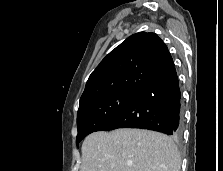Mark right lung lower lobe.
Masks as SVG:
<instances>
[{
  "label": "right lung lower lobe",
  "mask_w": 223,
  "mask_h": 171,
  "mask_svg": "<svg viewBox=\"0 0 223 171\" xmlns=\"http://www.w3.org/2000/svg\"><path fill=\"white\" fill-rule=\"evenodd\" d=\"M117 128H141L182 135L181 92L175 67L141 90L113 118L97 131Z\"/></svg>",
  "instance_id": "1"
}]
</instances>
